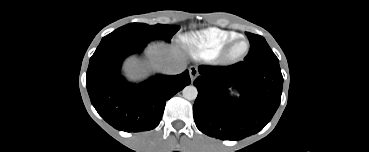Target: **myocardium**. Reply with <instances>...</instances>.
Instances as JSON below:
<instances>
[{
    "instance_id": "myocardium-1",
    "label": "myocardium",
    "mask_w": 369,
    "mask_h": 152,
    "mask_svg": "<svg viewBox=\"0 0 369 152\" xmlns=\"http://www.w3.org/2000/svg\"><path fill=\"white\" fill-rule=\"evenodd\" d=\"M240 42L245 43V48L242 52H235L236 45ZM250 50V42L246 37L238 36L231 40L223 50L222 57L227 62H234L244 58Z\"/></svg>"
}]
</instances>
